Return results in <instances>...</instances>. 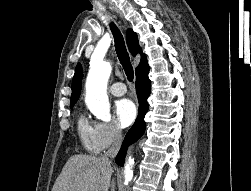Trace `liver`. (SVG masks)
<instances>
[{
    "label": "liver",
    "instance_id": "1",
    "mask_svg": "<svg viewBox=\"0 0 251 191\" xmlns=\"http://www.w3.org/2000/svg\"><path fill=\"white\" fill-rule=\"evenodd\" d=\"M112 167L95 155H71L52 191H108Z\"/></svg>",
    "mask_w": 251,
    "mask_h": 191
}]
</instances>
